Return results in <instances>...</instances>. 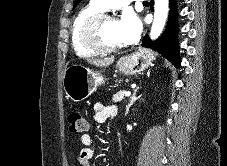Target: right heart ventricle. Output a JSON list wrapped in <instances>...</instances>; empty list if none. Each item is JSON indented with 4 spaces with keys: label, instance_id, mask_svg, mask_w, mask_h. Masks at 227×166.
I'll list each match as a JSON object with an SVG mask.
<instances>
[{
    "label": "right heart ventricle",
    "instance_id": "e07e8e85",
    "mask_svg": "<svg viewBox=\"0 0 227 166\" xmlns=\"http://www.w3.org/2000/svg\"><path fill=\"white\" fill-rule=\"evenodd\" d=\"M105 10L101 9L94 1H90L84 6L74 17L71 26V45L76 55L81 57H91L97 53L86 47L80 39V28L84 21L96 13H101Z\"/></svg>",
    "mask_w": 227,
    "mask_h": 166
}]
</instances>
